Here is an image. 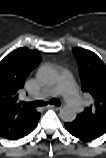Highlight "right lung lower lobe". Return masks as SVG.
I'll use <instances>...</instances> for the list:
<instances>
[{
	"instance_id": "right-lung-lower-lobe-1",
	"label": "right lung lower lobe",
	"mask_w": 106,
	"mask_h": 158,
	"mask_svg": "<svg viewBox=\"0 0 106 158\" xmlns=\"http://www.w3.org/2000/svg\"><path fill=\"white\" fill-rule=\"evenodd\" d=\"M38 123V122H37ZM37 123L25 134V135H27V134H29L31 131H33L34 129H35V127L37 126ZM25 135H23V136H25ZM22 136V137H23Z\"/></svg>"
}]
</instances>
